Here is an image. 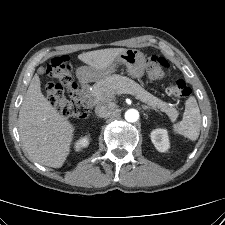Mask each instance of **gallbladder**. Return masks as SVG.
I'll use <instances>...</instances> for the list:
<instances>
[{
  "mask_svg": "<svg viewBox=\"0 0 225 225\" xmlns=\"http://www.w3.org/2000/svg\"><path fill=\"white\" fill-rule=\"evenodd\" d=\"M38 72H39L40 74H42V73H43V70L40 68V69L38 70Z\"/></svg>",
  "mask_w": 225,
  "mask_h": 225,
  "instance_id": "1",
  "label": "gallbladder"
}]
</instances>
